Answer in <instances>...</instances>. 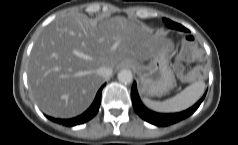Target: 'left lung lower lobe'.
I'll use <instances>...</instances> for the list:
<instances>
[{
	"mask_svg": "<svg viewBox=\"0 0 238 145\" xmlns=\"http://www.w3.org/2000/svg\"><path fill=\"white\" fill-rule=\"evenodd\" d=\"M177 30L188 32V30L180 24L178 25ZM204 97H205V94L194 106H192L191 108H189L183 112L171 113V114H160V113H155L153 111H150L142 104V102L139 98L138 92H137L135 82L131 89V98H132V103H133L135 112L143 120H145L151 124H154L156 126H163V127L172 125L174 123H177V122L189 117L191 114H193L197 110V108L203 101Z\"/></svg>",
	"mask_w": 238,
	"mask_h": 145,
	"instance_id": "0a47b994",
	"label": "left lung lower lobe"
}]
</instances>
